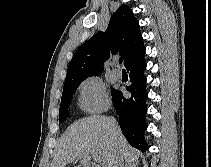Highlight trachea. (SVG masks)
I'll return each mask as SVG.
<instances>
[{
  "mask_svg": "<svg viewBox=\"0 0 211 167\" xmlns=\"http://www.w3.org/2000/svg\"><path fill=\"white\" fill-rule=\"evenodd\" d=\"M122 62H123V59H122V58H120V59H119V63L121 64Z\"/></svg>",
  "mask_w": 211,
  "mask_h": 167,
  "instance_id": "obj_1",
  "label": "trachea"
}]
</instances>
